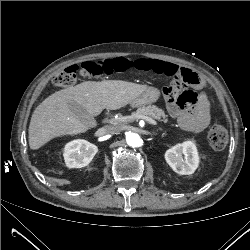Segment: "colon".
<instances>
[{"mask_svg": "<svg viewBox=\"0 0 250 250\" xmlns=\"http://www.w3.org/2000/svg\"><path fill=\"white\" fill-rule=\"evenodd\" d=\"M132 66L133 61L120 57L115 59L88 61L85 62L81 68L85 75L96 77L110 75L115 72H123L130 69ZM79 70L80 67L78 65L68 66L54 75L53 83L58 87H70L76 82ZM200 82L201 79L196 72L190 69H184L180 74L173 76L171 90L179 89L184 84L197 86ZM179 99L184 104L195 106L199 101V95L196 91L188 89L182 92ZM207 137L211 147L216 150L223 149L228 142L227 130L219 124H214L210 127Z\"/></svg>", "mask_w": 250, "mask_h": 250, "instance_id": "obj_1", "label": "colon"}]
</instances>
